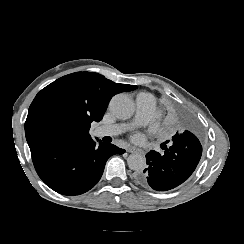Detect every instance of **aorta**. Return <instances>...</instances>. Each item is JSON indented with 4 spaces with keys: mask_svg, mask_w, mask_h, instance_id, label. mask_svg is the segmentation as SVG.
I'll return each mask as SVG.
<instances>
[{
    "mask_svg": "<svg viewBox=\"0 0 244 244\" xmlns=\"http://www.w3.org/2000/svg\"><path fill=\"white\" fill-rule=\"evenodd\" d=\"M109 109L115 117L122 120L130 118L134 113L132 100L122 94L116 95L111 99ZM127 164L130 169L135 171H142L147 166L145 157L141 154H131L127 158Z\"/></svg>",
    "mask_w": 244,
    "mask_h": 244,
    "instance_id": "762f6f07",
    "label": "aorta"
}]
</instances>
